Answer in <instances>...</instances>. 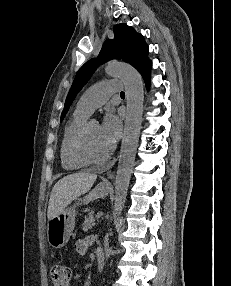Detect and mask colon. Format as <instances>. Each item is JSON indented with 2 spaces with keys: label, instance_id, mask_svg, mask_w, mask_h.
I'll use <instances>...</instances> for the list:
<instances>
[{
  "label": "colon",
  "instance_id": "1",
  "mask_svg": "<svg viewBox=\"0 0 231 286\" xmlns=\"http://www.w3.org/2000/svg\"><path fill=\"white\" fill-rule=\"evenodd\" d=\"M71 268L62 261L56 262L51 268L53 286H70Z\"/></svg>",
  "mask_w": 231,
  "mask_h": 286
}]
</instances>
